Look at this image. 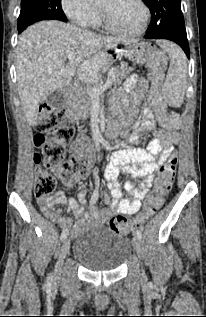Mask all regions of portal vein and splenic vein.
I'll return each instance as SVG.
<instances>
[{
  "label": "portal vein and splenic vein",
  "instance_id": "portal-vein-and-splenic-vein-1",
  "mask_svg": "<svg viewBox=\"0 0 206 317\" xmlns=\"http://www.w3.org/2000/svg\"><path fill=\"white\" fill-rule=\"evenodd\" d=\"M76 57L75 52H69L67 54V59L68 60H73ZM88 67V66H87ZM114 75H115V68L109 71V76L105 84L101 85L100 87H92L89 90V94L93 97L99 96L102 92H104L107 88H109L113 82H114Z\"/></svg>",
  "mask_w": 206,
  "mask_h": 317
}]
</instances>
